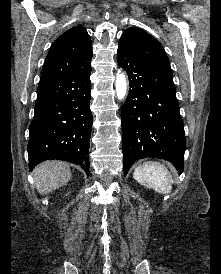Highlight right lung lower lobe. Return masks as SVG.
Wrapping results in <instances>:
<instances>
[{
	"label": "right lung lower lobe",
	"mask_w": 221,
	"mask_h": 274,
	"mask_svg": "<svg viewBox=\"0 0 221 274\" xmlns=\"http://www.w3.org/2000/svg\"><path fill=\"white\" fill-rule=\"evenodd\" d=\"M91 67L39 86L30 125V171L40 162L57 159L81 165L89 175Z\"/></svg>",
	"instance_id": "98d812e1"
}]
</instances>
